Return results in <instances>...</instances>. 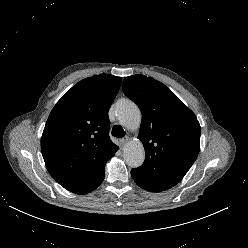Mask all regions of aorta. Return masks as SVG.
Instances as JSON below:
<instances>
[{
    "label": "aorta",
    "mask_w": 248,
    "mask_h": 248,
    "mask_svg": "<svg viewBox=\"0 0 248 248\" xmlns=\"http://www.w3.org/2000/svg\"><path fill=\"white\" fill-rule=\"evenodd\" d=\"M117 116L120 124L128 130H137L140 126L141 112L130 100H122L118 103ZM123 158L132 168L141 166L145 159L143 144L139 140L128 142L123 149Z\"/></svg>",
    "instance_id": "762f6f07"
}]
</instances>
